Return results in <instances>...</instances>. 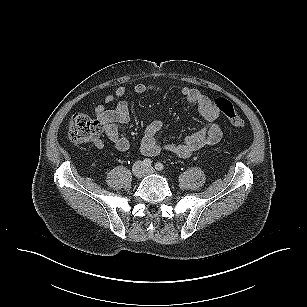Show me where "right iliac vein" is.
Masks as SVG:
<instances>
[{
  "mask_svg": "<svg viewBox=\"0 0 307 307\" xmlns=\"http://www.w3.org/2000/svg\"><path fill=\"white\" fill-rule=\"evenodd\" d=\"M133 174L136 178L140 179L144 175V166L142 162H137L133 167Z\"/></svg>",
  "mask_w": 307,
  "mask_h": 307,
  "instance_id": "right-iliac-vein-1",
  "label": "right iliac vein"
}]
</instances>
